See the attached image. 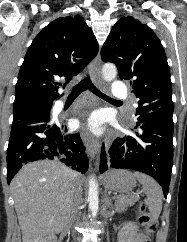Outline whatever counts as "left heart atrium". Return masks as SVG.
<instances>
[{
    "label": "left heart atrium",
    "instance_id": "39dd6f15",
    "mask_svg": "<svg viewBox=\"0 0 187 242\" xmlns=\"http://www.w3.org/2000/svg\"><path fill=\"white\" fill-rule=\"evenodd\" d=\"M103 123V116L98 112L92 113L85 121L86 127L95 133H100L102 131Z\"/></svg>",
    "mask_w": 187,
    "mask_h": 242
}]
</instances>
